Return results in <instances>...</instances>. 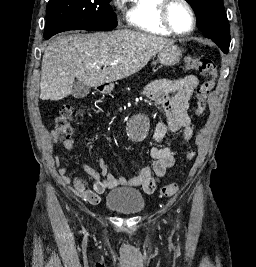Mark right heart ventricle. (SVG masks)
<instances>
[{
  "label": "right heart ventricle",
  "instance_id": "obj_1",
  "mask_svg": "<svg viewBox=\"0 0 256 267\" xmlns=\"http://www.w3.org/2000/svg\"><path fill=\"white\" fill-rule=\"evenodd\" d=\"M164 0H137L133 6L132 23L143 29V36H173L160 22Z\"/></svg>",
  "mask_w": 256,
  "mask_h": 267
}]
</instances>
